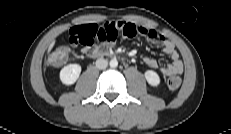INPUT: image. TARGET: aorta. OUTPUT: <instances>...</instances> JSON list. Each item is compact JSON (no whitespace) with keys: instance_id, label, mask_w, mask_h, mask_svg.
Masks as SVG:
<instances>
[{"instance_id":"aorta-1","label":"aorta","mask_w":231,"mask_h":134,"mask_svg":"<svg viewBox=\"0 0 231 134\" xmlns=\"http://www.w3.org/2000/svg\"><path fill=\"white\" fill-rule=\"evenodd\" d=\"M110 67H112V68H115V67H117L118 66V61H117V59H111L110 60Z\"/></svg>"}]
</instances>
